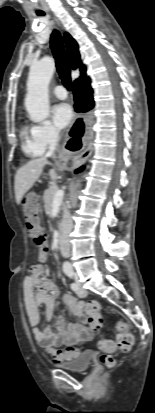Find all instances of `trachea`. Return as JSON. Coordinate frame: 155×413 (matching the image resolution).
<instances>
[{
  "label": "trachea",
  "mask_w": 155,
  "mask_h": 413,
  "mask_svg": "<svg viewBox=\"0 0 155 413\" xmlns=\"http://www.w3.org/2000/svg\"><path fill=\"white\" fill-rule=\"evenodd\" d=\"M38 16H44V13H38ZM50 47L56 61V68L64 86L71 90L70 68L64 51L62 37L57 30H54L50 38Z\"/></svg>",
  "instance_id": "3493384b"
}]
</instances>
